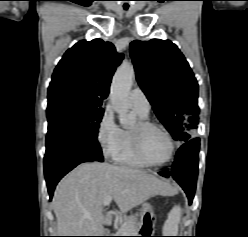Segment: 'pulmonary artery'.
<instances>
[{"instance_id":"e3ab8cb5","label":"pulmonary artery","mask_w":248,"mask_h":237,"mask_svg":"<svg viewBox=\"0 0 248 237\" xmlns=\"http://www.w3.org/2000/svg\"><path fill=\"white\" fill-rule=\"evenodd\" d=\"M129 101L134 109L144 114H149L150 102L145 93L140 88H134L130 92Z\"/></svg>"}]
</instances>
